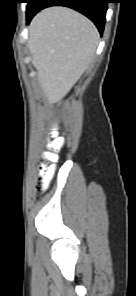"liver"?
Wrapping results in <instances>:
<instances>
[{
	"instance_id": "liver-1",
	"label": "liver",
	"mask_w": 136,
	"mask_h": 296,
	"mask_svg": "<svg viewBox=\"0 0 136 296\" xmlns=\"http://www.w3.org/2000/svg\"><path fill=\"white\" fill-rule=\"evenodd\" d=\"M28 35L32 64L44 95L64 97L94 58L97 28L72 9L49 7L32 19Z\"/></svg>"
}]
</instances>
